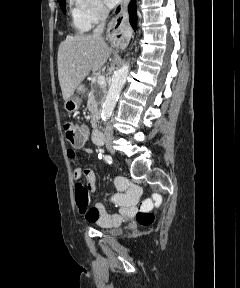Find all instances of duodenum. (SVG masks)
<instances>
[{"mask_svg": "<svg viewBox=\"0 0 240 288\" xmlns=\"http://www.w3.org/2000/svg\"><path fill=\"white\" fill-rule=\"evenodd\" d=\"M99 117L98 115H94L92 117V126H93V140L96 144L102 145L103 144V135L98 128Z\"/></svg>", "mask_w": 240, "mask_h": 288, "instance_id": "410a0bca", "label": "duodenum"}]
</instances>
